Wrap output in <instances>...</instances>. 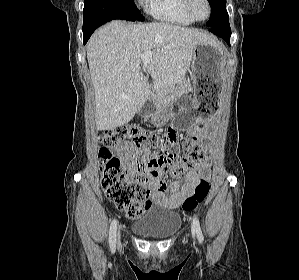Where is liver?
<instances>
[{
  "mask_svg": "<svg viewBox=\"0 0 299 280\" xmlns=\"http://www.w3.org/2000/svg\"><path fill=\"white\" fill-rule=\"evenodd\" d=\"M203 42L213 41L202 32L164 22L114 20L99 28L87 44L97 130L127 124L144 105L149 88L141 64L156 90L182 83L190 69L193 47ZM148 51L152 58L144 62L141 55Z\"/></svg>",
  "mask_w": 299,
  "mask_h": 280,
  "instance_id": "obj_1",
  "label": "liver"
}]
</instances>
